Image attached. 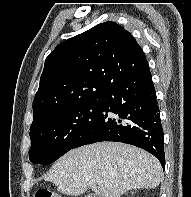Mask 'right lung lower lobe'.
Listing matches in <instances>:
<instances>
[{"instance_id": "98d812e1", "label": "right lung lower lobe", "mask_w": 191, "mask_h": 197, "mask_svg": "<svg viewBox=\"0 0 191 197\" xmlns=\"http://www.w3.org/2000/svg\"><path fill=\"white\" fill-rule=\"evenodd\" d=\"M98 114L72 149L101 141L140 147L165 168L164 133L149 66L108 87L98 99Z\"/></svg>"}]
</instances>
